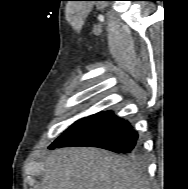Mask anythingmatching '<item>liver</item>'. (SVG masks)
<instances>
[{
    "mask_svg": "<svg viewBox=\"0 0 188 189\" xmlns=\"http://www.w3.org/2000/svg\"><path fill=\"white\" fill-rule=\"evenodd\" d=\"M40 189H149L132 163L97 148L54 150L46 160Z\"/></svg>",
    "mask_w": 188,
    "mask_h": 189,
    "instance_id": "6515ba94",
    "label": "liver"
}]
</instances>
